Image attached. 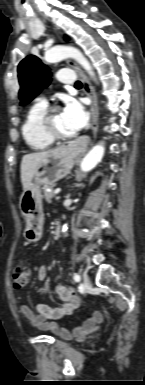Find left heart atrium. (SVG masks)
<instances>
[{"label":"left heart atrium","mask_w":145,"mask_h":385,"mask_svg":"<svg viewBox=\"0 0 145 385\" xmlns=\"http://www.w3.org/2000/svg\"><path fill=\"white\" fill-rule=\"evenodd\" d=\"M62 115L68 127L73 131L84 128L88 121V115L83 106L75 99H68L62 110Z\"/></svg>","instance_id":"39dd6f15"}]
</instances>
